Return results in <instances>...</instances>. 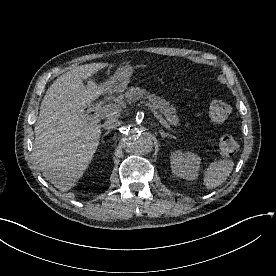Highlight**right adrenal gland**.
Listing matches in <instances>:
<instances>
[{
  "label": "right adrenal gland",
  "mask_w": 276,
  "mask_h": 276,
  "mask_svg": "<svg viewBox=\"0 0 276 276\" xmlns=\"http://www.w3.org/2000/svg\"><path fill=\"white\" fill-rule=\"evenodd\" d=\"M110 133V131H107L103 134L102 138L105 137L106 135H108Z\"/></svg>",
  "instance_id": "1"
}]
</instances>
